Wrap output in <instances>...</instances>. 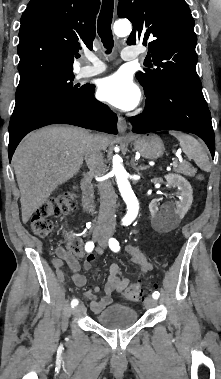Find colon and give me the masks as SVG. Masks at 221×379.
Returning <instances> with one entry per match:
<instances>
[{"label": "colon", "mask_w": 221, "mask_h": 379, "mask_svg": "<svg viewBox=\"0 0 221 379\" xmlns=\"http://www.w3.org/2000/svg\"><path fill=\"white\" fill-rule=\"evenodd\" d=\"M197 179L199 174L195 175ZM76 194L67 193L61 197L44 202L32 215L30 219V227L32 231L39 237L49 236L53 231V222L51 217H59L71 211L76 204ZM70 253L79 255L81 253L80 242L73 239L70 243ZM125 297L133 302H141L145 296V289L140 283L130 284L125 292Z\"/></svg>", "instance_id": "colon-1"}]
</instances>
